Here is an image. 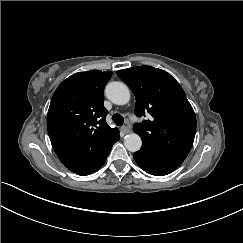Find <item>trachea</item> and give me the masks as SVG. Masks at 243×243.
<instances>
[{"mask_svg":"<svg viewBox=\"0 0 243 243\" xmlns=\"http://www.w3.org/2000/svg\"><path fill=\"white\" fill-rule=\"evenodd\" d=\"M112 120L118 126H122L123 125V122H124V119H123V117L120 114H114L112 116Z\"/></svg>","mask_w":243,"mask_h":243,"instance_id":"trachea-1","label":"trachea"}]
</instances>
